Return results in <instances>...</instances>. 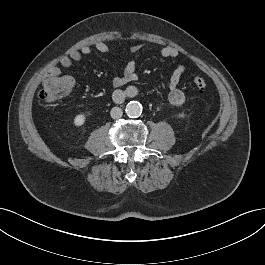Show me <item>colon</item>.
I'll return each instance as SVG.
<instances>
[{
  "mask_svg": "<svg viewBox=\"0 0 265 265\" xmlns=\"http://www.w3.org/2000/svg\"><path fill=\"white\" fill-rule=\"evenodd\" d=\"M193 83L200 91L207 89V81L201 76L194 77ZM73 86L74 80L72 77L51 74L43 82L39 94L40 100L47 109H53L59 100L71 93Z\"/></svg>",
  "mask_w": 265,
  "mask_h": 265,
  "instance_id": "obj_1",
  "label": "colon"
}]
</instances>
